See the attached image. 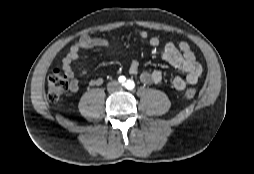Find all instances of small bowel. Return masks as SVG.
<instances>
[{
    "label": "small bowel",
    "instance_id": "c3829d8e",
    "mask_svg": "<svg viewBox=\"0 0 254 174\" xmlns=\"http://www.w3.org/2000/svg\"><path fill=\"white\" fill-rule=\"evenodd\" d=\"M139 37L142 40H148L149 44L159 49L160 56L173 68L185 73V77H174L172 87L181 91L186 87L195 85L202 76L203 68L196 60L190 46L186 42L178 44L167 43L160 47V41L156 36H149L146 30L139 31ZM94 47L111 48V43L103 38H97L90 35H82L70 48L68 54L62 60V69L68 75L70 80V90L76 92L78 90V80L75 78L73 65L77 63L80 52L84 49ZM129 72L133 75L139 72V63L132 60L129 65ZM77 74L84 76L86 70L78 67ZM163 79V73L160 70L143 71L140 73V80L146 85L160 83ZM103 84L102 77H95L89 81L90 86H100Z\"/></svg>",
    "mask_w": 254,
    "mask_h": 174
}]
</instances>
